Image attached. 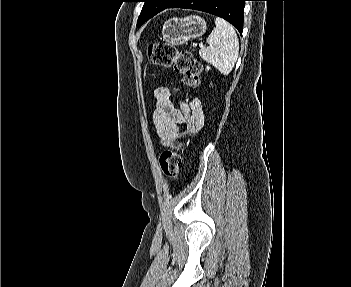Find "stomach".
Returning a JSON list of instances; mask_svg holds the SVG:
<instances>
[{"label":"stomach","instance_id":"obj_1","mask_svg":"<svg viewBox=\"0 0 351 287\" xmlns=\"http://www.w3.org/2000/svg\"><path fill=\"white\" fill-rule=\"evenodd\" d=\"M207 29L205 20L191 15L184 18H171L162 28L164 41L171 45H182L190 39L202 36Z\"/></svg>","mask_w":351,"mask_h":287}]
</instances>
